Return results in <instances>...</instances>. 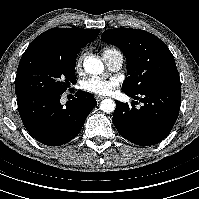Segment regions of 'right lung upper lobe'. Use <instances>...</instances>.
<instances>
[{
	"instance_id": "right-lung-upper-lobe-1",
	"label": "right lung upper lobe",
	"mask_w": 199,
	"mask_h": 199,
	"mask_svg": "<svg viewBox=\"0 0 199 199\" xmlns=\"http://www.w3.org/2000/svg\"><path fill=\"white\" fill-rule=\"evenodd\" d=\"M99 29L52 28L40 34L28 48H46L63 56H75L87 43L96 39Z\"/></svg>"
}]
</instances>
